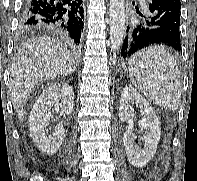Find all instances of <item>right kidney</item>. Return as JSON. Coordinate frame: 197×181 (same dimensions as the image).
Listing matches in <instances>:
<instances>
[{"label":"right kidney","mask_w":197,"mask_h":181,"mask_svg":"<svg viewBox=\"0 0 197 181\" xmlns=\"http://www.w3.org/2000/svg\"><path fill=\"white\" fill-rule=\"evenodd\" d=\"M73 106L74 92L66 82L51 84L43 90L29 117L30 136L38 148L47 154H54L59 150L65 138V129L59 123L53 132L49 133L47 126L51 108L54 107L61 115H68L72 112Z\"/></svg>","instance_id":"obj_1"}]
</instances>
